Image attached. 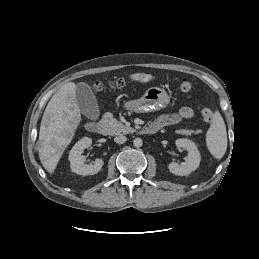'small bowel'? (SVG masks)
Returning <instances> with one entry per match:
<instances>
[{
  "label": "small bowel",
  "mask_w": 259,
  "mask_h": 259,
  "mask_svg": "<svg viewBox=\"0 0 259 259\" xmlns=\"http://www.w3.org/2000/svg\"><path fill=\"white\" fill-rule=\"evenodd\" d=\"M192 115V108L184 106L177 113L165 114L156 119L152 124L156 125L160 129L166 126L174 125L183 119H188L192 117Z\"/></svg>",
  "instance_id": "obj_1"
}]
</instances>
